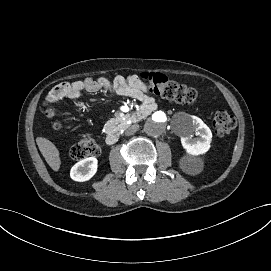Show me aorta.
Masks as SVG:
<instances>
[{
    "label": "aorta",
    "mask_w": 271,
    "mask_h": 271,
    "mask_svg": "<svg viewBox=\"0 0 271 271\" xmlns=\"http://www.w3.org/2000/svg\"><path fill=\"white\" fill-rule=\"evenodd\" d=\"M168 126V116L161 110L147 113L144 131L149 136L157 137L162 135Z\"/></svg>",
    "instance_id": "aorta-1"
}]
</instances>
